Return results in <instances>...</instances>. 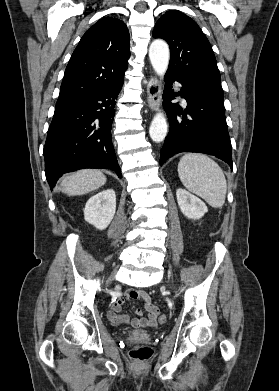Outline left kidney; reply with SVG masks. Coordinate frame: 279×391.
Wrapping results in <instances>:
<instances>
[{
	"mask_svg": "<svg viewBox=\"0 0 279 391\" xmlns=\"http://www.w3.org/2000/svg\"><path fill=\"white\" fill-rule=\"evenodd\" d=\"M181 212L189 219H200L208 211L206 204L185 189L176 191Z\"/></svg>",
	"mask_w": 279,
	"mask_h": 391,
	"instance_id": "left-kidney-1",
	"label": "left kidney"
}]
</instances>
